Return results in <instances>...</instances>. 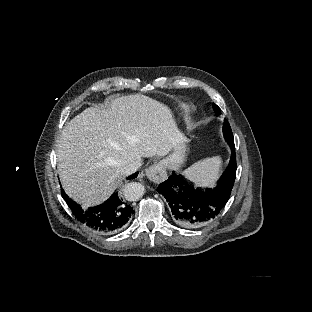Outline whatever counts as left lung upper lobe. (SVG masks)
I'll list each match as a JSON object with an SVG mask.
<instances>
[{
    "instance_id": "left-lung-upper-lobe-1",
    "label": "left lung upper lobe",
    "mask_w": 312,
    "mask_h": 312,
    "mask_svg": "<svg viewBox=\"0 0 312 312\" xmlns=\"http://www.w3.org/2000/svg\"><path fill=\"white\" fill-rule=\"evenodd\" d=\"M213 109H214L216 114L220 113V108L216 104H213ZM223 132H224V136H225V139L227 140V142L234 144V138H233L232 130H231L230 124L228 123L227 120H225V122H224Z\"/></svg>"
}]
</instances>
